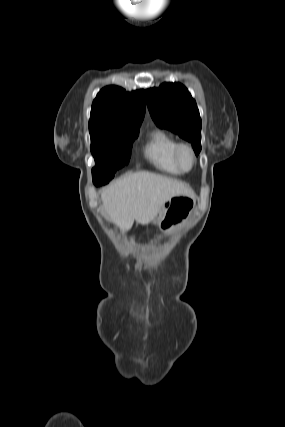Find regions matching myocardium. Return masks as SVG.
<instances>
[{"instance_id":"obj_1","label":"myocardium","mask_w":285,"mask_h":427,"mask_svg":"<svg viewBox=\"0 0 285 427\" xmlns=\"http://www.w3.org/2000/svg\"><path fill=\"white\" fill-rule=\"evenodd\" d=\"M183 150H187L190 153V155H191L192 163H191L190 168H188V169H185L182 166V164H181L180 156H181V153H182ZM173 159H174L175 165L177 166V168L182 173H188V172H190L195 167L196 160H197L194 148L190 144H188V143H178L177 144V146L174 149Z\"/></svg>"}]
</instances>
